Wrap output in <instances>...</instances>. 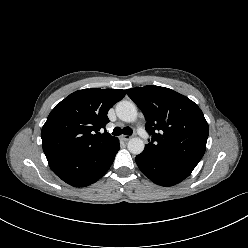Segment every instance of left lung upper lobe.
<instances>
[{
	"label": "left lung upper lobe",
	"instance_id": "obj_1",
	"mask_svg": "<svg viewBox=\"0 0 248 248\" xmlns=\"http://www.w3.org/2000/svg\"><path fill=\"white\" fill-rule=\"evenodd\" d=\"M146 118L152 136L144 151L171 161L196 166L203 157L209 134L201 109L184 95L148 85L126 90Z\"/></svg>",
	"mask_w": 248,
	"mask_h": 248
}]
</instances>
